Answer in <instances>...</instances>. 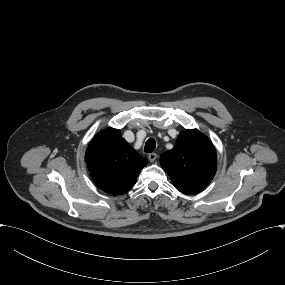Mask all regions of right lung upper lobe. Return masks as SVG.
<instances>
[{
	"label": "right lung upper lobe",
	"instance_id": "obj_1",
	"mask_svg": "<svg viewBox=\"0 0 285 285\" xmlns=\"http://www.w3.org/2000/svg\"><path fill=\"white\" fill-rule=\"evenodd\" d=\"M85 160L93 181L107 193L121 195L131 189L148 160L140 156L120 135L109 128L90 142Z\"/></svg>",
	"mask_w": 285,
	"mask_h": 285
}]
</instances>
